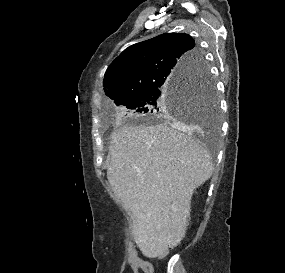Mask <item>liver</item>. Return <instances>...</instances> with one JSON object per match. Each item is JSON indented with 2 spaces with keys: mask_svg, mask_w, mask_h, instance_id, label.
Masks as SVG:
<instances>
[{
  "mask_svg": "<svg viewBox=\"0 0 285 273\" xmlns=\"http://www.w3.org/2000/svg\"><path fill=\"white\" fill-rule=\"evenodd\" d=\"M178 124L117 128L107 178L134 217L132 233L144 256H162L185 237L194 190L214 170L210 154Z\"/></svg>",
  "mask_w": 285,
  "mask_h": 273,
  "instance_id": "obj_1",
  "label": "liver"
}]
</instances>
